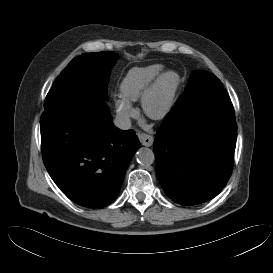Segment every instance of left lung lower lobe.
<instances>
[{
    "label": "left lung lower lobe",
    "instance_id": "left-lung-lower-lobe-1",
    "mask_svg": "<svg viewBox=\"0 0 273 273\" xmlns=\"http://www.w3.org/2000/svg\"><path fill=\"white\" fill-rule=\"evenodd\" d=\"M176 102L163 120L153 151L159 183L174 202L189 206L217 196L233 170L237 125L218 78Z\"/></svg>",
    "mask_w": 273,
    "mask_h": 273
}]
</instances>
